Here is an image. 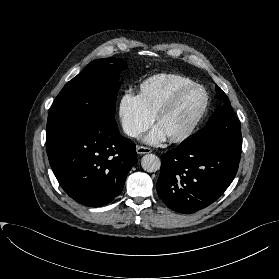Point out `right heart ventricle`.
I'll use <instances>...</instances> for the list:
<instances>
[{
    "mask_svg": "<svg viewBox=\"0 0 279 279\" xmlns=\"http://www.w3.org/2000/svg\"><path fill=\"white\" fill-rule=\"evenodd\" d=\"M194 83L193 79L183 74L159 73L140 84L139 96L146 110L155 117L179 89Z\"/></svg>",
    "mask_w": 279,
    "mask_h": 279,
    "instance_id": "e07e8e85",
    "label": "right heart ventricle"
}]
</instances>
